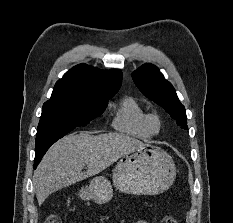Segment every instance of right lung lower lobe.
Segmentation results:
<instances>
[{
  "label": "right lung lower lobe",
  "mask_w": 233,
  "mask_h": 223,
  "mask_svg": "<svg viewBox=\"0 0 233 223\" xmlns=\"http://www.w3.org/2000/svg\"><path fill=\"white\" fill-rule=\"evenodd\" d=\"M47 150H48V149H47ZM47 150H46V151H47ZM46 151H45V152H41L40 154H36L35 159H34V168L37 167V165H38L39 162L41 161V159H42L43 155L46 153Z\"/></svg>",
  "instance_id": "98d812e1"
}]
</instances>
